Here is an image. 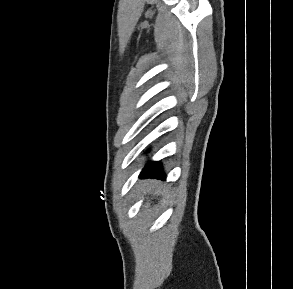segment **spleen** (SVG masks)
<instances>
[{
  "label": "spleen",
  "instance_id": "3e777b00",
  "mask_svg": "<svg viewBox=\"0 0 293 289\" xmlns=\"http://www.w3.org/2000/svg\"><path fill=\"white\" fill-rule=\"evenodd\" d=\"M143 190L145 193H149V194H163L165 193L166 189L162 188L159 186V184L155 183V184H149L145 187H143Z\"/></svg>",
  "mask_w": 293,
  "mask_h": 289
}]
</instances>
